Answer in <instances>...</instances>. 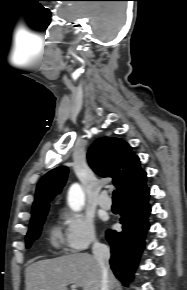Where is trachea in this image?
<instances>
[{"instance_id":"1","label":"trachea","mask_w":187,"mask_h":290,"mask_svg":"<svg viewBox=\"0 0 187 290\" xmlns=\"http://www.w3.org/2000/svg\"><path fill=\"white\" fill-rule=\"evenodd\" d=\"M118 199H119L118 192L115 190V191L113 192V201L117 202Z\"/></svg>"}]
</instances>
